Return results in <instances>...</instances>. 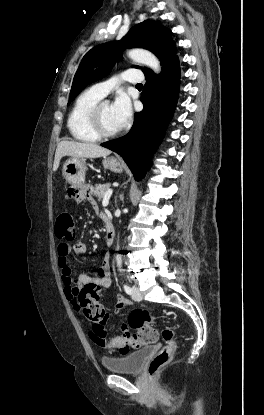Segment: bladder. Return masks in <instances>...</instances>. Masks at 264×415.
<instances>
[{
  "mask_svg": "<svg viewBox=\"0 0 264 415\" xmlns=\"http://www.w3.org/2000/svg\"><path fill=\"white\" fill-rule=\"evenodd\" d=\"M155 349V345H149L122 357L103 358L102 364L110 372L139 373Z\"/></svg>",
  "mask_w": 264,
  "mask_h": 415,
  "instance_id": "1",
  "label": "bladder"
}]
</instances>
